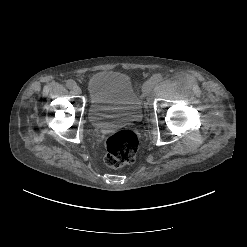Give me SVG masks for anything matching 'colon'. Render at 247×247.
<instances>
[{"label":"colon","instance_id":"colon-1","mask_svg":"<svg viewBox=\"0 0 247 247\" xmlns=\"http://www.w3.org/2000/svg\"><path fill=\"white\" fill-rule=\"evenodd\" d=\"M138 145V137L132 130L124 129L110 134L105 140L106 165L119 168L132 163L136 157Z\"/></svg>","mask_w":247,"mask_h":247}]
</instances>
